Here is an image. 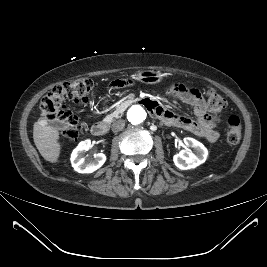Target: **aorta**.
<instances>
[{
  "label": "aorta",
  "instance_id": "762f6f07",
  "mask_svg": "<svg viewBox=\"0 0 267 267\" xmlns=\"http://www.w3.org/2000/svg\"><path fill=\"white\" fill-rule=\"evenodd\" d=\"M146 117V111L139 105L132 106L127 113L128 120L134 125L142 123Z\"/></svg>",
  "mask_w": 267,
  "mask_h": 267
}]
</instances>
